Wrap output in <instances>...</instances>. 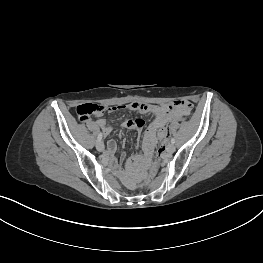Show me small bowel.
<instances>
[{"label": "small bowel", "instance_id": "1", "mask_svg": "<svg viewBox=\"0 0 263 263\" xmlns=\"http://www.w3.org/2000/svg\"><path fill=\"white\" fill-rule=\"evenodd\" d=\"M137 105L140 102H132ZM149 107V112L153 116V120L150 123L144 137L143 148L145 151V160H148L150 157L153 148L157 142H162L165 137V123H169L174 120H180L184 115H188L191 112V108L188 105H185L183 108L179 104H171L168 106H155L147 104ZM125 108V106L113 107L110 110H119ZM140 113L138 110L136 111ZM141 114V113H140ZM96 125L100 128V133L102 136H107L111 132V127L104 118H100L96 121ZM121 125L128 129H133L140 131L144 126V121L140 118L135 119H126ZM117 149V144L115 141L110 140L106 148V156L108 158L113 157ZM139 161V158L135 157L132 159V164H136Z\"/></svg>", "mask_w": 263, "mask_h": 263}]
</instances>
